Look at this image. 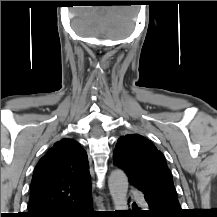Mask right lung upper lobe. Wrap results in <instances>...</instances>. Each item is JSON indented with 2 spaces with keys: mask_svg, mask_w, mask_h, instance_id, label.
Segmentation results:
<instances>
[{
  "mask_svg": "<svg viewBox=\"0 0 217 217\" xmlns=\"http://www.w3.org/2000/svg\"><path fill=\"white\" fill-rule=\"evenodd\" d=\"M88 157L81 145L64 138L39 160L31 181L27 217H42L91 196Z\"/></svg>",
  "mask_w": 217,
  "mask_h": 217,
  "instance_id": "1",
  "label": "right lung upper lobe"
}]
</instances>
